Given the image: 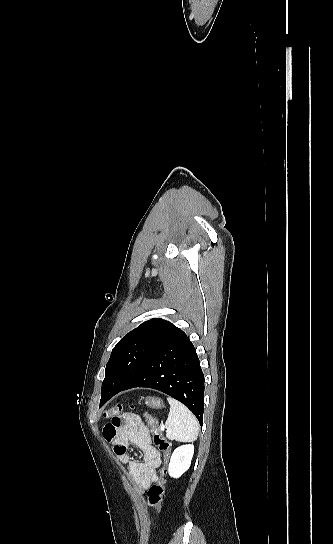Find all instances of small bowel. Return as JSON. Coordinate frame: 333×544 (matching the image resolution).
I'll use <instances>...</instances> for the list:
<instances>
[{
  "mask_svg": "<svg viewBox=\"0 0 333 544\" xmlns=\"http://www.w3.org/2000/svg\"><path fill=\"white\" fill-rule=\"evenodd\" d=\"M103 436L113 444L114 453L127 467L131 480L139 490H148L158 480L156 469L161 465V456L152 446L147 426L137 416L126 413L112 418L104 426ZM128 443L143 453L142 460L130 456Z\"/></svg>",
  "mask_w": 333,
  "mask_h": 544,
  "instance_id": "obj_1",
  "label": "small bowel"
}]
</instances>
